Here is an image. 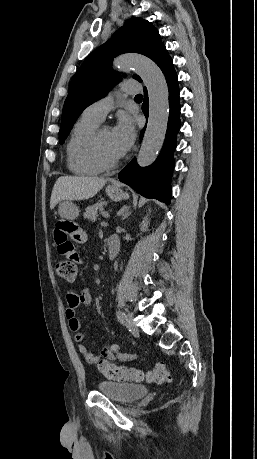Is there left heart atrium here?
<instances>
[{"label": "left heart atrium", "instance_id": "39dd6f15", "mask_svg": "<svg viewBox=\"0 0 257 459\" xmlns=\"http://www.w3.org/2000/svg\"><path fill=\"white\" fill-rule=\"evenodd\" d=\"M112 137L118 155L123 156L131 148L136 138L133 119L128 115L120 116L116 126L112 129Z\"/></svg>", "mask_w": 257, "mask_h": 459}]
</instances>
